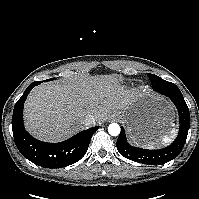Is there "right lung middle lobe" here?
Listing matches in <instances>:
<instances>
[{
    "mask_svg": "<svg viewBox=\"0 0 199 199\" xmlns=\"http://www.w3.org/2000/svg\"><path fill=\"white\" fill-rule=\"evenodd\" d=\"M51 80H54V78H51V79H48V80H44V81L33 82V84H34V85H38V84H40L41 82L51 81Z\"/></svg>",
    "mask_w": 199,
    "mask_h": 199,
    "instance_id": "1",
    "label": "right lung middle lobe"
}]
</instances>
